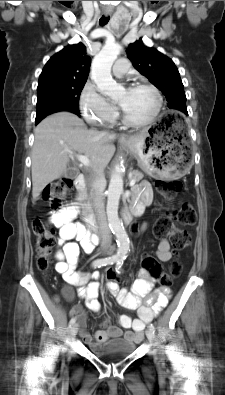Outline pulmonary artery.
I'll list each match as a JSON object with an SVG mask.
<instances>
[{"label":"pulmonary artery","instance_id":"1","mask_svg":"<svg viewBox=\"0 0 225 395\" xmlns=\"http://www.w3.org/2000/svg\"><path fill=\"white\" fill-rule=\"evenodd\" d=\"M129 68V62L127 59L121 58L118 59L112 69V72L114 76L116 77H122L123 75L126 74Z\"/></svg>","mask_w":225,"mask_h":395}]
</instances>
